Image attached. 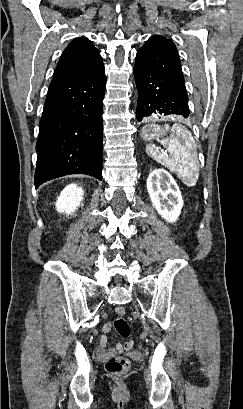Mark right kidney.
Segmentation results:
<instances>
[{"mask_svg": "<svg viewBox=\"0 0 243 409\" xmlns=\"http://www.w3.org/2000/svg\"><path fill=\"white\" fill-rule=\"evenodd\" d=\"M84 192L76 184H70L64 188L56 202L58 212L73 214L83 200Z\"/></svg>", "mask_w": 243, "mask_h": 409, "instance_id": "right-kidney-1", "label": "right kidney"}]
</instances>
